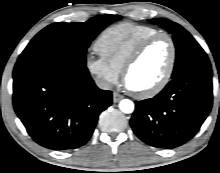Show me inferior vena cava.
I'll list each match as a JSON object with an SVG mask.
<instances>
[{
    "instance_id": "1",
    "label": "inferior vena cava",
    "mask_w": 220,
    "mask_h": 173,
    "mask_svg": "<svg viewBox=\"0 0 220 173\" xmlns=\"http://www.w3.org/2000/svg\"><path fill=\"white\" fill-rule=\"evenodd\" d=\"M95 83H96L97 87H99L100 89H103V90H110L112 88V84L109 81H107L103 78H100V77H97L95 79Z\"/></svg>"
}]
</instances>
